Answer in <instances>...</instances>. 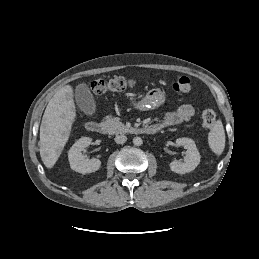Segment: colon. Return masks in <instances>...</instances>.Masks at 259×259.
<instances>
[{"mask_svg":"<svg viewBox=\"0 0 259 259\" xmlns=\"http://www.w3.org/2000/svg\"><path fill=\"white\" fill-rule=\"evenodd\" d=\"M133 86V81L123 78L115 77L109 80L98 79L91 83L90 87L93 93L103 95L114 92L120 93ZM176 92L187 93L191 90V81L187 77H180L172 84ZM216 115L212 109H205L202 113V126L205 129H211L215 124Z\"/></svg>","mask_w":259,"mask_h":259,"instance_id":"colon-1","label":"colon"}]
</instances>
